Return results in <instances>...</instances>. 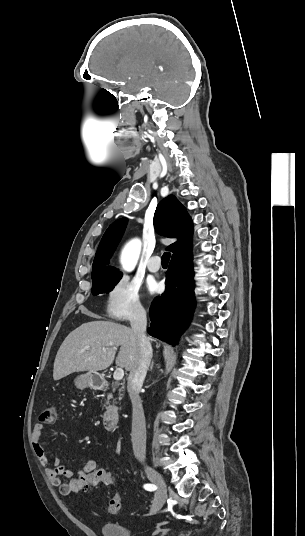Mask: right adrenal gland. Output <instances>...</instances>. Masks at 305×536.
I'll list each match as a JSON object with an SVG mask.
<instances>
[{
  "label": "right adrenal gland",
  "instance_id": "obj_1",
  "mask_svg": "<svg viewBox=\"0 0 305 536\" xmlns=\"http://www.w3.org/2000/svg\"><path fill=\"white\" fill-rule=\"evenodd\" d=\"M153 366H154V362H152V364H151V366H150L151 370H152Z\"/></svg>",
  "mask_w": 305,
  "mask_h": 536
}]
</instances>
